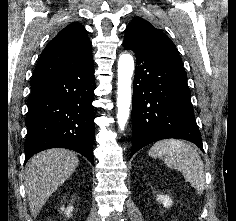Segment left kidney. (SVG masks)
Wrapping results in <instances>:
<instances>
[{
  "label": "left kidney",
  "instance_id": "5707ae66",
  "mask_svg": "<svg viewBox=\"0 0 236 221\" xmlns=\"http://www.w3.org/2000/svg\"><path fill=\"white\" fill-rule=\"evenodd\" d=\"M157 200L161 202L165 208H169L173 203L172 199L169 196L161 194L157 195Z\"/></svg>",
  "mask_w": 236,
  "mask_h": 221
}]
</instances>
